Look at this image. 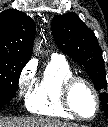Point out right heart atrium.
<instances>
[{"mask_svg":"<svg viewBox=\"0 0 108 127\" xmlns=\"http://www.w3.org/2000/svg\"><path fill=\"white\" fill-rule=\"evenodd\" d=\"M34 73V66L31 63L25 65L24 68L21 70L17 81L18 93L21 97L26 96L27 91L33 81Z\"/></svg>","mask_w":108,"mask_h":127,"instance_id":"right-heart-atrium-1","label":"right heart atrium"}]
</instances>
